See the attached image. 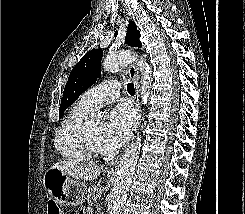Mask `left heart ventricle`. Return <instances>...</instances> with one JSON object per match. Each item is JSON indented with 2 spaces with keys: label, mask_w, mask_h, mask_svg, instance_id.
Wrapping results in <instances>:
<instances>
[{
  "label": "left heart ventricle",
  "mask_w": 245,
  "mask_h": 214,
  "mask_svg": "<svg viewBox=\"0 0 245 214\" xmlns=\"http://www.w3.org/2000/svg\"><path fill=\"white\" fill-rule=\"evenodd\" d=\"M98 129H99V126L97 124H87L86 125L87 135L89 137L91 144L95 148L100 149L98 142H97Z\"/></svg>",
  "instance_id": "b2bd125f"
}]
</instances>
